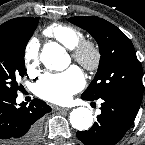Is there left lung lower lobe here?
Returning <instances> with one entry per match:
<instances>
[{
	"label": "left lung lower lobe",
	"instance_id": "left-lung-lower-lobe-1",
	"mask_svg": "<svg viewBox=\"0 0 145 145\" xmlns=\"http://www.w3.org/2000/svg\"><path fill=\"white\" fill-rule=\"evenodd\" d=\"M81 98L92 101L84 96ZM102 100L97 122L88 131L77 132L78 139L85 145H115L133 124L141 104L121 97Z\"/></svg>",
	"mask_w": 145,
	"mask_h": 145
}]
</instances>
